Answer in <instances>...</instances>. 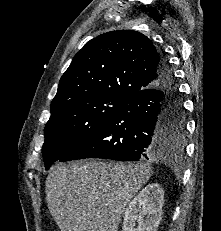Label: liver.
<instances>
[{
	"mask_svg": "<svg viewBox=\"0 0 221 231\" xmlns=\"http://www.w3.org/2000/svg\"><path fill=\"white\" fill-rule=\"evenodd\" d=\"M152 172L149 163L56 164L45 182L48 208L61 231H117L126 206Z\"/></svg>",
	"mask_w": 221,
	"mask_h": 231,
	"instance_id": "6515ba94",
	"label": "liver"
}]
</instances>
